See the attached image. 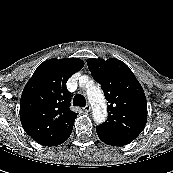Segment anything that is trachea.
<instances>
[{
	"instance_id": "obj_1",
	"label": "trachea",
	"mask_w": 173,
	"mask_h": 173,
	"mask_svg": "<svg viewBox=\"0 0 173 173\" xmlns=\"http://www.w3.org/2000/svg\"><path fill=\"white\" fill-rule=\"evenodd\" d=\"M73 105L77 107H84L86 105V100L83 95H75L73 98Z\"/></svg>"
}]
</instances>
